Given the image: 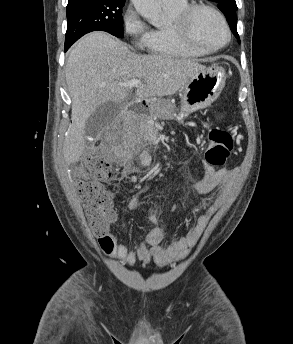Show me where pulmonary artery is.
<instances>
[{
  "label": "pulmonary artery",
  "instance_id": "1",
  "mask_svg": "<svg viewBox=\"0 0 293 344\" xmlns=\"http://www.w3.org/2000/svg\"><path fill=\"white\" fill-rule=\"evenodd\" d=\"M177 0H161V2L163 3V4H171V3H174V2H176Z\"/></svg>",
  "mask_w": 293,
  "mask_h": 344
}]
</instances>
